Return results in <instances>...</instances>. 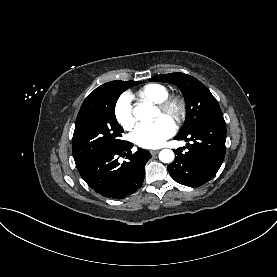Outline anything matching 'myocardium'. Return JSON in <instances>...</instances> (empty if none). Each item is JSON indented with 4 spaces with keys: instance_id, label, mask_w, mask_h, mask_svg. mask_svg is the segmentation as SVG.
I'll list each match as a JSON object with an SVG mask.
<instances>
[{
    "instance_id": "f54148a6",
    "label": "myocardium",
    "mask_w": 277,
    "mask_h": 277,
    "mask_svg": "<svg viewBox=\"0 0 277 277\" xmlns=\"http://www.w3.org/2000/svg\"><path fill=\"white\" fill-rule=\"evenodd\" d=\"M156 107L163 117H167L176 123L182 122L187 113V104L180 95H172L156 104Z\"/></svg>"
}]
</instances>
